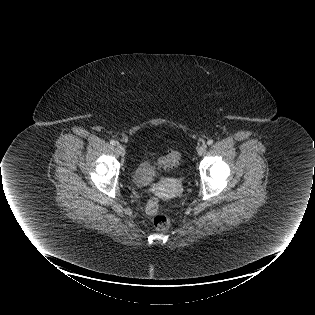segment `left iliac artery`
I'll return each instance as SVG.
<instances>
[{
  "label": "left iliac artery",
  "instance_id": "obj_1",
  "mask_svg": "<svg viewBox=\"0 0 315 315\" xmlns=\"http://www.w3.org/2000/svg\"><path fill=\"white\" fill-rule=\"evenodd\" d=\"M207 144H208V145H212V144H213V140H211V139L208 140V141H207Z\"/></svg>",
  "mask_w": 315,
  "mask_h": 315
}]
</instances>
